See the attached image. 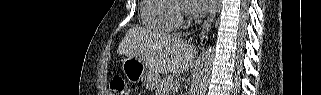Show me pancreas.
Returning <instances> with one entry per match:
<instances>
[{
  "instance_id": "cf45deb5",
  "label": "pancreas",
  "mask_w": 321,
  "mask_h": 95,
  "mask_svg": "<svg viewBox=\"0 0 321 95\" xmlns=\"http://www.w3.org/2000/svg\"><path fill=\"white\" fill-rule=\"evenodd\" d=\"M176 83L173 76L167 75L163 80H161L156 86V95H172L176 89Z\"/></svg>"
}]
</instances>
